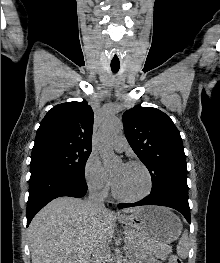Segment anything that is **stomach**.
Returning <instances> with one entry per match:
<instances>
[{
	"label": "stomach",
	"mask_w": 220,
	"mask_h": 263,
	"mask_svg": "<svg viewBox=\"0 0 220 263\" xmlns=\"http://www.w3.org/2000/svg\"><path fill=\"white\" fill-rule=\"evenodd\" d=\"M120 222L127 229L136 231L139 247L147 249L153 244H170L182 231L180 219L168 208L160 206L141 207L130 215L122 216Z\"/></svg>",
	"instance_id": "0dacf381"
}]
</instances>
